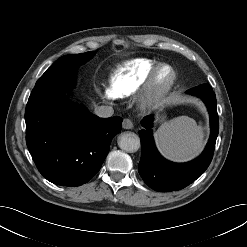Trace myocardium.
<instances>
[{
    "label": "myocardium",
    "mask_w": 247,
    "mask_h": 247,
    "mask_svg": "<svg viewBox=\"0 0 247 247\" xmlns=\"http://www.w3.org/2000/svg\"><path fill=\"white\" fill-rule=\"evenodd\" d=\"M164 69L170 71V77L163 85H158L157 79L160 72ZM177 80L175 69L167 64H158L149 74L142 85L139 94V102L142 108H151L161 102L171 91Z\"/></svg>",
    "instance_id": "1"
}]
</instances>
